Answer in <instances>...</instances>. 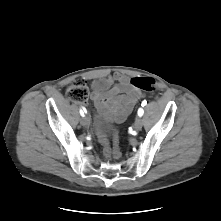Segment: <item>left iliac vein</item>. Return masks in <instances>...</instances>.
<instances>
[{"label":"left iliac vein","instance_id":"obj_1","mask_svg":"<svg viewBox=\"0 0 221 221\" xmlns=\"http://www.w3.org/2000/svg\"><path fill=\"white\" fill-rule=\"evenodd\" d=\"M142 126H143L142 118L141 117H137L135 122H134V129L136 131H140Z\"/></svg>","mask_w":221,"mask_h":221}]
</instances>
